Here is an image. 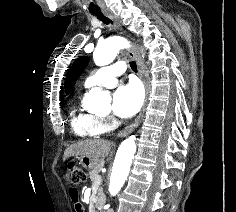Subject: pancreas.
<instances>
[{
  "mask_svg": "<svg viewBox=\"0 0 236 212\" xmlns=\"http://www.w3.org/2000/svg\"><path fill=\"white\" fill-rule=\"evenodd\" d=\"M101 167H102V165L99 164V165H97L94 169H92V170L89 172V177H90V179H91V181H92L93 183L96 182V179H97L98 176H99V172H100ZM98 195H99V196H103V192H102L101 189L99 190V194H98ZM98 205H99V204H98ZM99 206H100V205H99Z\"/></svg>",
  "mask_w": 236,
  "mask_h": 212,
  "instance_id": "cf45deb5",
  "label": "pancreas"
}]
</instances>
